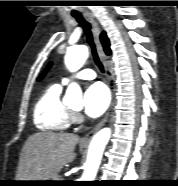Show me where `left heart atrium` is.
Listing matches in <instances>:
<instances>
[{
	"label": "left heart atrium",
	"instance_id": "1",
	"mask_svg": "<svg viewBox=\"0 0 178 186\" xmlns=\"http://www.w3.org/2000/svg\"><path fill=\"white\" fill-rule=\"evenodd\" d=\"M110 102L109 91L100 82L90 85L84 94V111L92 118L101 116Z\"/></svg>",
	"mask_w": 178,
	"mask_h": 186
}]
</instances>
